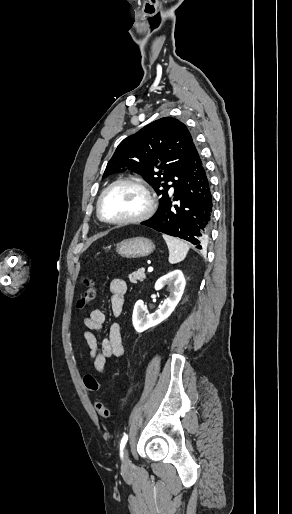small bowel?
<instances>
[{
    "label": "small bowel",
    "instance_id": "obj_1",
    "mask_svg": "<svg viewBox=\"0 0 292 514\" xmlns=\"http://www.w3.org/2000/svg\"><path fill=\"white\" fill-rule=\"evenodd\" d=\"M110 307L113 315L118 316L123 311L124 296L127 284L123 279L114 278L109 282ZM87 330L81 332V337L89 349V362L99 373H105L108 359L117 360L124 355L121 327L119 323H111L107 337L99 341L92 331H103L105 313L101 309L92 310L83 320Z\"/></svg>",
    "mask_w": 292,
    "mask_h": 514
}]
</instances>
